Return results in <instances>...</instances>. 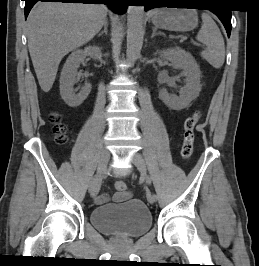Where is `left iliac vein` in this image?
Listing matches in <instances>:
<instances>
[{"mask_svg": "<svg viewBox=\"0 0 259 266\" xmlns=\"http://www.w3.org/2000/svg\"><path fill=\"white\" fill-rule=\"evenodd\" d=\"M132 162L139 170L141 176L145 179L146 178V164H145V161L142 155L139 153H135L132 157ZM147 200L151 204H153L156 201L154 200V198H152V194L147 195Z\"/></svg>", "mask_w": 259, "mask_h": 266, "instance_id": "left-iliac-vein-1", "label": "left iliac vein"}]
</instances>
